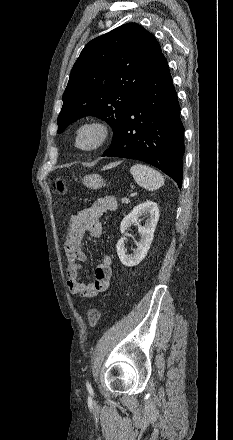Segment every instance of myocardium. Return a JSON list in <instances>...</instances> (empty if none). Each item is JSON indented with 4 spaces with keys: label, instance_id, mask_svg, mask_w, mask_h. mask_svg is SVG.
Returning a JSON list of instances; mask_svg holds the SVG:
<instances>
[{
    "label": "myocardium",
    "instance_id": "f54148a6",
    "mask_svg": "<svg viewBox=\"0 0 233 440\" xmlns=\"http://www.w3.org/2000/svg\"><path fill=\"white\" fill-rule=\"evenodd\" d=\"M86 129H94L98 133L97 141L88 147L80 144V135ZM112 129L108 123L100 119H89L82 122L76 129L74 135L75 147L81 151L92 152L103 148L111 139Z\"/></svg>",
    "mask_w": 233,
    "mask_h": 440
}]
</instances>
